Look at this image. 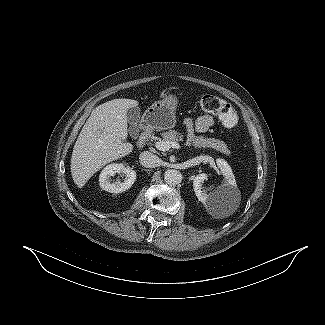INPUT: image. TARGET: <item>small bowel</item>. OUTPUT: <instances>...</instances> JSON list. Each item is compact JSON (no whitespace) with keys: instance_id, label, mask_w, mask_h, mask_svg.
Returning a JSON list of instances; mask_svg holds the SVG:
<instances>
[{"instance_id":"small-bowel-1","label":"small bowel","mask_w":325,"mask_h":325,"mask_svg":"<svg viewBox=\"0 0 325 325\" xmlns=\"http://www.w3.org/2000/svg\"><path fill=\"white\" fill-rule=\"evenodd\" d=\"M214 124V119L210 115H202L197 119L186 118L184 125L187 129V140L189 144L194 143L196 134L206 132Z\"/></svg>"}]
</instances>
